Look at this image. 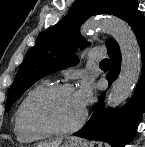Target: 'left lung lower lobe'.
I'll list each match as a JSON object with an SVG mask.
<instances>
[{
	"mask_svg": "<svg viewBox=\"0 0 145 147\" xmlns=\"http://www.w3.org/2000/svg\"><path fill=\"white\" fill-rule=\"evenodd\" d=\"M123 20L133 29L140 46L143 64L141 79L131 99L120 109L104 108L105 92L102 93L90 120L75 133L82 138L105 141L114 147H124L134 138L145 110V18L138 10L135 0L128 4ZM107 49L112 66L106 79L111 85L120 73L121 53L119 45L114 40Z\"/></svg>",
	"mask_w": 145,
	"mask_h": 147,
	"instance_id": "obj_1",
	"label": "left lung lower lobe"
}]
</instances>
